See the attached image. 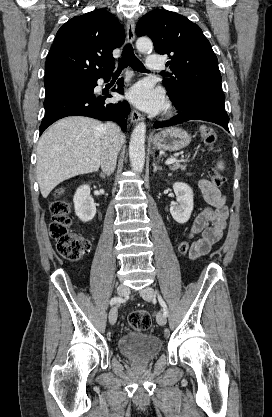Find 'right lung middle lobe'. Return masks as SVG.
Segmentation results:
<instances>
[{"instance_id":"dd1d6c3e","label":"right lung middle lobe","mask_w":272,"mask_h":417,"mask_svg":"<svg viewBox=\"0 0 272 417\" xmlns=\"http://www.w3.org/2000/svg\"><path fill=\"white\" fill-rule=\"evenodd\" d=\"M80 85L81 84L64 85V86H60V87H57V88L45 89V98H48L49 96L53 95L57 91H61V90H64V89H68V88H72V87H76V86H80Z\"/></svg>"}]
</instances>
